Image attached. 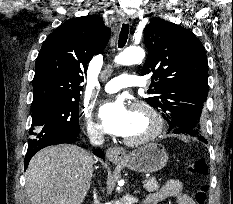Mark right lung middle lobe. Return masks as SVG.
Here are the masks:
<instances>
[{"label":"right lung middle lobe","mask_w":233,"mask_h":204,"mask_svg":"<svg viewBox=\"0 0 233 204\" xmlns=\"http://www.w3.org/2000/svg\"><path fill=\"white\" fill-rule=\"evenodd\" d=\"M79 99L50 101L32 105L31 138L28 151H36L54 138L80 132Z\"/></svg>","instance_id":"1"}]
</instances>
